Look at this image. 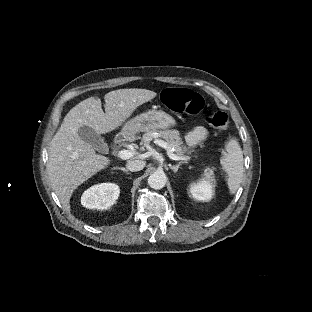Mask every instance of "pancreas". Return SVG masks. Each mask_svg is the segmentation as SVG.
<instances>
[{"instance_id":"cf45deb5","label":"pancreas","mask_w":312,"mask_h":312,"mask_svg":"<svg viewBox=\"0 0 312 312\" xmlns=\"http://www.w3.org/2000/svg\"><path fill=\"white\" fill-rule=\"evenodd\" d=\"M154 138L163 139L169 149H174L178 155L190 154L191 150L183 142L181 133L177 130L159 131L156 129L147 131L144 135L142 144L152 141Z\"/></svg>"}]
</instances>
